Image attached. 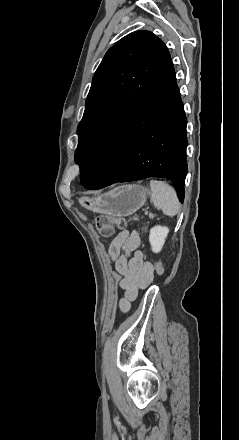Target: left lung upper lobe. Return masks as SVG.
<instances>
[{
    "label": "left lung upper lobe",
    "mask_w": 239,
    "mask_h": 440,
    "mask_svg": "<svg viewBox=\"0 0 239 440\" xmlns=\"http://www.w3.org/2000/svg\"><path fill=\"white\" fill-rule=\"evenodd\" d=\"M170 59L166 45L149 31L123 37L96 70L78 125L75 161L80 171L109 131L129 112Z\"/></svg>",
    "instance_id": "1"
}]
</instances>
